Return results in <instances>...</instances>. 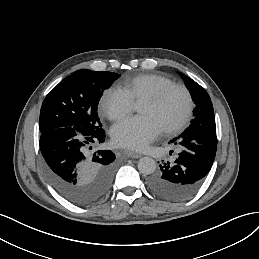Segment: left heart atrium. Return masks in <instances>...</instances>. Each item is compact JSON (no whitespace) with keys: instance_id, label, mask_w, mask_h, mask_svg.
Returning <instances> with one entry per match:
<instances>
[{"instance_id":"obj_1","label":"left heart atrium","mask_w":259,"mask_h":259,"mask_svg":"<svg viewBox=\"0 0 259 259\" xmlns=\"http://www.w3.org/2000/svg\"><path fill=\"white\" fill-rule=\"evenodd\" d=\"M159 125L149 117L126 118L111 128V137L115 145L135 150L144 149L161 134Z\"/></svg>"}]
</instances>
